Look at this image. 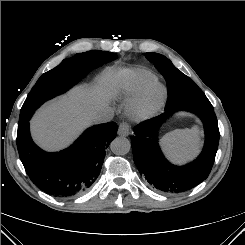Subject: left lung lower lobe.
Masks as SVG:
<instances>
[{
  "mask_svg": "<svg viewBox=\"0 0 245 245\" xmlns=\"http://www.w3.org/2000/svg\"><path fill=\"white\" fill-rule=\"evenodd\" d=\"M205 98L204 95H197ZM185 110L196 114L204 125L205 144L202 153L185 166L169 163L158 145L157 132L174 112ZM131 137L134 162L141 175L156 189L165 193L187 191L205 180L214 163L219 143V128L213 106L182 105L166 107V112L136 125Z\"/></svg>",
  "mask_w": 245,
  "mask_h": 245,
  "instance_id": "obj_1",
  "label": "left lung lower lobe"
}]
</instances>
